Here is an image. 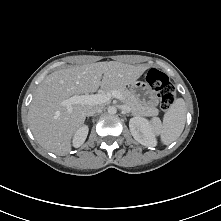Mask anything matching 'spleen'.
<instances>
[{"instance_id":"3e777b00","label":"spleen","mask_w":221,"mask_h":221,"mask_svg":"<svg viewBox=\"0 0 221 221\" xmlns=\"http://www.w3.org/2000/svg\"><path fill=\"white\" fill-rule=\"evenodd\" d=\"M186 122V104L182 98L176 99L165 113L163 122L157 117L152 120V127L160 135L161 142L169 145L183 132Z\"/></svg>"}]
</instances>
